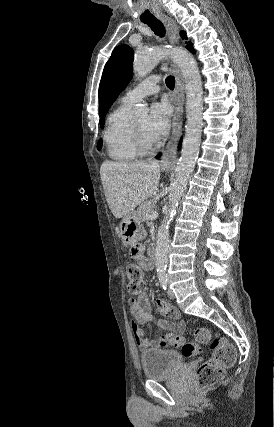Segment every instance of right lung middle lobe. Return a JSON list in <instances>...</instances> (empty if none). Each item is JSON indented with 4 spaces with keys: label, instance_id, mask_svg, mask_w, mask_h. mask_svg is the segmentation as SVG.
I'll use <instances>...</instances> for the list:
<instances>
[{
    "label": "right lung middle lobe",
    "instance_id": "1",
    "mask_svg": "<svg viewBox=\"0 0 274 427\" xmlns=\"http://www.w3.org/2000/svg\"><path fill=\"white\" fill-rule=\"evenodd\" d=\"M101 146H102V142H101V140H99V143H98L97 148L100 150V149H101Z\"/></svg>",
    "mask_w": 274,
    "mask_h": 427
}]
</instances>
